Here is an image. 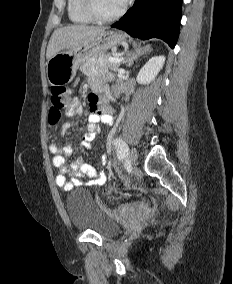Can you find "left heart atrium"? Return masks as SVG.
<instances>
[{
    "label": "left heart atrium",
    "mask_w": 233,
    "mask_h": 284,
    "mask_svg": "<svg viewBox=\"0 0 233 284\" xmlns=\"http://www.w3.org/2000/svg\"><path fill=\"white\" fill-rule=\"evenodd\" d=\"M120 1V3L123 5V4H125L128 0H119Z\"/></svg>",
    "instance_id": "left-heart-atrium-1"
}]
</instances>
